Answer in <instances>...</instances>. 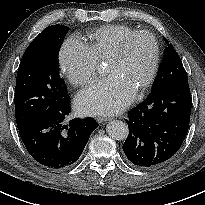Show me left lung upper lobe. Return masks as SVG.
Returning <instances> with one entry per match:
<instances>
[{"mask_svg":"<svg viewBox=\"0 0 205 205\" xmlns=\"http://www.w3.org/2000/svg\"><path fill=\"white\" fill-rule=\"evenodd\" d=\"M166 43H168L166 41ZM187 78L181 59L171 44L164 51L163 61L157 77L153 83L152 91L162 90L174 84L177 80Z\"/></svg>","mask_w":205,"mask_h":205,"instance_id":"obj_1","label":"left lung upper lobe"}]
</instances>
